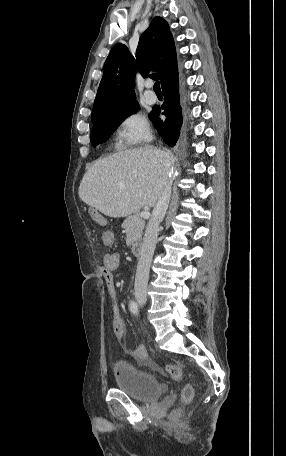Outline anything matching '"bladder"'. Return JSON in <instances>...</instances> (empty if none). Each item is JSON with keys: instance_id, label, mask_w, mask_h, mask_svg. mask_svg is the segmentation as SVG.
I'll list each match as a JSON object with an SVG mask.
<instances>
[{"instance_id": "obj_1", "label": "bladder", "mask_w": 286, "mask_h": 456, "mask_svg": "<svg viewBox=\"0 0 286 456\" xmlns=\"http://www.w3.org/2000/svg\"><path fill=\"white\" fill-rule=\"evenodd\" d=\"M114 371L117 388L136 400L149 401L164 393L162 384L155 376L127 362H116Z\"/></svg>"}]
</instances>
